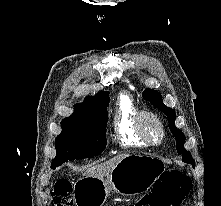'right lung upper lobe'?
I'll return each instance as SVG.
<instances>
[{"label":"right lung upper lobe","instance_id":"obj_1","mask_svg":"<svg viewBox=\"0 0 221 206\" xmlns=\"http://www.w3.org/2000/svg\"><path fill=\"white\" fill-rule=\"evenodd\" d=\"M109 96L107 92H100L95 97H86L83 103L75 105L72 115L92 113L95 111L107 110Z\"/></svg>","mask_w":221,"mask_h":206}]
</instances>
